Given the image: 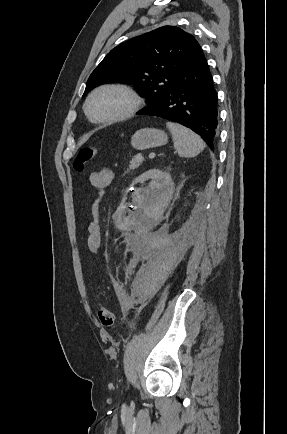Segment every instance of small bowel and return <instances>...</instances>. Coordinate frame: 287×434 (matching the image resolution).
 Here are the masks:
<instances>
[{
	"label": "small bowel",
	"instance_id": "c3829d8e",
	"mask_svg": "<svg viewBox=\"0 0 287 434\" xmlns=\"http://www.w3.org/2000/svg\"><path fill=\"white\" fill-rule=\"evenodd\" d=\"M114 173L109 168L94 170L90 173L89 181L98 194V198L91 206L92 220L87 227V246L90 252L97 253L102 245V230L99 223L100 199L105 189L112 183Z\"/></svg>",
	"mask_w": 287,
	"mask_h": 434
}]
</instances>
